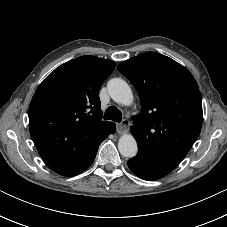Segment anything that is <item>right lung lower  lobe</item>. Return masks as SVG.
Returning <instances> with one entry per match:
<instances>
[{
  "label": "right lung lower lobe",
  "mask_w": 227,
  "mask_h": 227,
  "mask_svg": "<svg viewBox=\"0 0 227 227\" xmlns=\"http://www.w3.org/2000/svg\"><path fill=\"white\" fill-rule=\"evenodd\" d=\"M116 131L115 129V125L110 129L109 134H113ZM97 153V152H96ZM96 153L88 160L86 161L83 165H81L77 170H75L73 173H71L70 175H68V177L71 176H75L81 172H83L84 170H86L94 161Z\"/></svg>",
  "instance_id": "98d812e1"
}]
</instances>
